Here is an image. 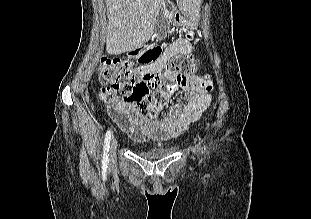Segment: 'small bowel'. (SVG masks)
Wrapping results in <instances>:
<instances>
[{
    "label": "small bowel",
    "mask_w": 311,
    "mask_h": 219,
    "mask_svg": "<svg viewBox=\"0 0 311 219\" xmlns=\"http://www.w3.org/2000/svg\"><path fill=\"white\" fill-rule=\"evenodd\" d=\"M191 52L192 47L188 41L177 39L163 51L155 62L139 67L137 72L140 75L164 76L165 81H171L173 76L163 72L166 62L176 55H190ZM182 89L185 92L183 100L172 105L160 120H148L135 106L125 103L117 107L119 116L112 112L110 106L107 107V112L116 125L134 140L144 141L151 138L156 142H165L178 137L209 107L213 81L210 77L189 76L187 84Z\"/></svg>",
    "instance_id": "small-bowel-1"
}]
</instances>
